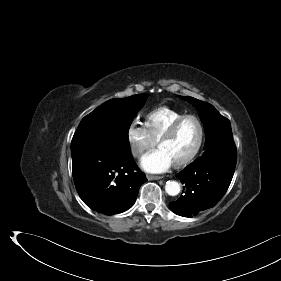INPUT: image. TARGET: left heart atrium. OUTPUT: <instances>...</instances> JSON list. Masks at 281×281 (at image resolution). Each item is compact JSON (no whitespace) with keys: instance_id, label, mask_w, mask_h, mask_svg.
Returning <instances> with one entry per match:
<instances>
[{"instance_id":"left-heart-atrium-1","label":"left heart atrium","mask_w":281,"mask_h":281,"mask_svg":"<svg viewBox=\"0 0 281 281\" xmlns=\"http://www.w3.org/2000/svg\"><path fill=\"white\" fill-rule=\"evenodd\" d=\"M141 167L150 173H162L167 171L173 164L171 158L162 150L157 149L146 154L141 159Z\"/></svg>"}]
</instances>
